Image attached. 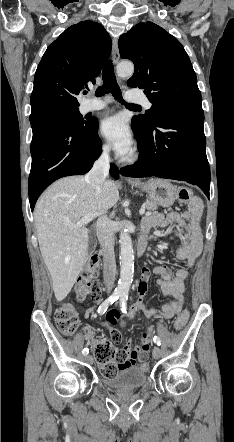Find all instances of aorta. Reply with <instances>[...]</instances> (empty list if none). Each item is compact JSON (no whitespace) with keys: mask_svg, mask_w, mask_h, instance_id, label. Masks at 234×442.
<instances>
[{"mask_svg":"<svg viewBox=\"0 0 234 442\" xmlns=\"http://www.w3.org/2000/svg\"><path fill=\"white\" fill-rule=\"evenodd\" d=\"M134 72V65L122 62L117 65V74L120 77H129ZM120 279L116 291L120 295H127L132 283L134 273L133 245L127 230L120 233Z\"/></svg>","mask_w":234,"mask_h":442,"instance_id":"1","label":"aorta"}]
</instances>
